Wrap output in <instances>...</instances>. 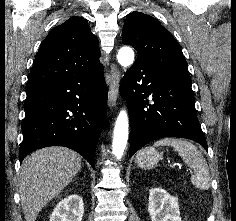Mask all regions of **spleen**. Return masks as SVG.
Instances as JSON below:
<instances>
[{"label":"spleen","mask_w":236,"mask_h":221,"mask_svg":"<svg viewBox=\"0 0 236 221\" xmlns=\"http://www.w3.org/2000/svg\"><path fill=\"white\" fill-rule=\"evenodd\" d=\"M155 147L158 146H171L178 152L179 156L194 169V174L191 176V182L196 188L200 190H207L210 187V173L208 164L197 149V147L182 139L177 138H163L154 143Z\"/></svg>","instance_id":"obj_1"}]
</instances>
